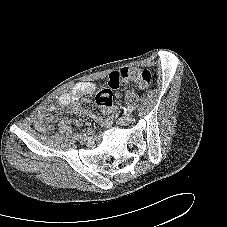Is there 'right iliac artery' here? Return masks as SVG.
<instances>
[{
  "label": "right iliac artery",
  "instance_id": "82829eb1",
  "mask_svg": "<svg viewBox=\"0 0 227 227\" xmlns=\"http://www.w3.org/2000/svg\"><path fill=\"white\" fill-rule=\"evenodd\" d=\"M79 134H74L73 138L78 139Z\"/></svg>",
  "mask_w": 227,
  "mask_h": 227
}]
</instances>
